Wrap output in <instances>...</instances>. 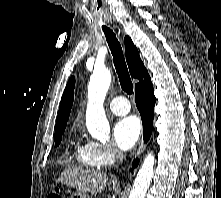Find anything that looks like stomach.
<instances>
[{
    "label": "stomach",
    "mask_w": 221,
    "mask_h": 198,
    "mask_svg": "<svg viewBox=\"0 0 221 198\" xmlns=\"http://www.w3.org/2000/svg\"><path fill=\"white\" fill-rule=\"evenodd\" d=\"M70 198H90V197L87 193L78 191V192L72 194V196Z\"/></svg>",
    "instance_id": "obj_1"
}]
</instances>
